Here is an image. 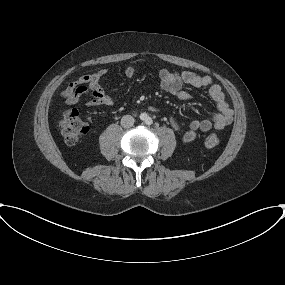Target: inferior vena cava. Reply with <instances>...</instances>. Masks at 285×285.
Masks as SVG:
<instances>
[{"label": "inferior vena cava", "mask_w": 285, "mask_h": 285, "mask_svg": "<svg viewBox=\"0 0 285 285\" xmlns=\"http://www.w3.org/2000/svg\"><path fill=\"white\" fill-rule=\"evenodd\" d=\"M134 118L131 115H124L121 118V126L124 128H130L134 125Z\"/></svg>", "instance_id": "inferior-vena-cava-1"}]
</instances>
